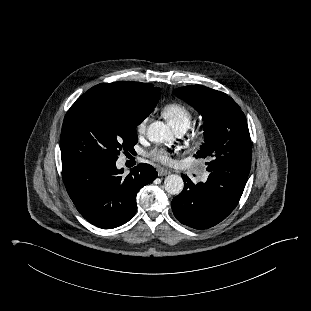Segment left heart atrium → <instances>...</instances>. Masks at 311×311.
<instances>
[{
  "instance_id": "1",
  "label": "left heart atrium",
  "mask_w": 311,
  "mask_h": 311,
  "mask_svg": "<svg viewBox=\"0 0 311 311\" xmlns=\"http://www.w3.org/2000/svg\"><path fill=\"white\" fill-rule=\"evenodd\" d=\"M152 156L162 162H169L170 161V154L167 150L163 148H156L152 152Z\"/></svg>"
}]
</instances>
